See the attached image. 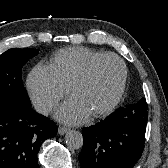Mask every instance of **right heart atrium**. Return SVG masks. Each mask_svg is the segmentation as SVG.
Segmentation results:
<instances>
[{
    "label": "right heart atrium",
    "mask_w": 168,
    "mask_h": 168,
    "mask_svg": "<svg viewBox=\"0 0 168 168\" xmlns=\"http://www.w3.org/2000/svg\"><path fill=\"white\" fill-rule=\"evenodd\" d=\"M27 89L35 109L48 114L65 97L70 88L51 64H37L29 73Z\"/></svg>",
    "instance_id": "obj_1"
}]
</instances>
